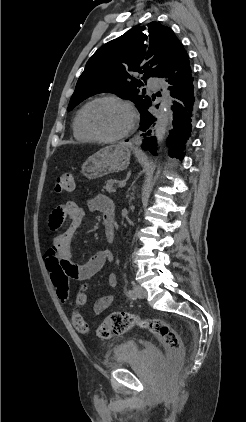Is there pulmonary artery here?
Instances as JSON below:
<instances>
[{
	"instance_id": "obj_1",
	"label": "pulmonary artery",
	"mask_w": 246,
	"mask_h": 422,
	"mask_svg": "<svg viewBox=\"0 0 246 422\" xmlns=\"http://www.w3.org/2000/svg\"><path fill=\"white\" fill-rule=\"evenodd\" d=\"M147 84H148L149 88H151L153 90H157V89L160 88V82L155 77H149L148 80H147Z\"/></svg>"
}]
</instances>
